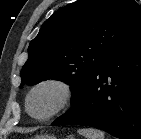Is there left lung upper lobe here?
Returning <instances> with one entry per match:
<instances>
[{
  "label": "left lung upper lobe",
  "instance_id": "obj_1",
  "mask_svg": "<svg viewBox=\"0 0 141 139\" xmlns=\"http://www.w3.org/2000/svg\"><path fill=\"white\" fill-rule=\"evenodd\" d=\"M141 28L134 0H79L44 22L28 47L21 86L56 79L71 86L72 104L97 66Z\"/></svg>",
  "mask_w": 141,
  "mask_h": 139
}]
</instances>
